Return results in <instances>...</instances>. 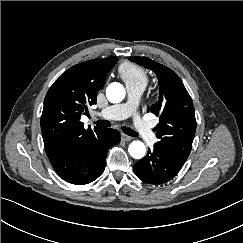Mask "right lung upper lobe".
Instances as JSON below:
<instances>
[{
    "label": "right lung upper lobe",
    "mask_w": 243,
    "mask_h": 243,
    "mask_svg": "<svg viewBox=\"0 0 243 243\" xmlns=\"http://www.w3.org/2000/svg\"><path fill=\"white\" fill-rule=\"evenodd\" d=\"M117 60L112 56L85 61L69 68L53 83L41 116L46 151L79 144L102 130L85 129L80 115L88 111V104H96L97 92Z\"/></svg>",
    "instance_id": "cb5924a9"
}]
</instances>
